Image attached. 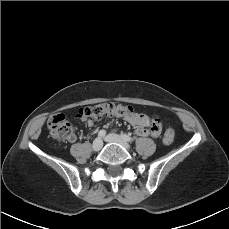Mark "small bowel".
Masks as SVG:
<instances>
[{"mask_svg":"<svg viewBox=\"0 0 229 229\" xmlns=\"http://www.w3.org/2000/svg\"><path fill=\"white\" fill-rule=\"evenodd\" d=\"M125 119L131 125L137 127L136 134L138 136L146 137V136H156L157 135V131L149 130L146 128V126H148L150 123V118L148 115L142 114V113H134L133 115H126ZM86 125L88 127H92L94 125V121L88 119L86 120Z\"/></svg>","mask_w":229,"mask_h":229,"instance_id":"1","label":"small bowel"}]
</instances>
